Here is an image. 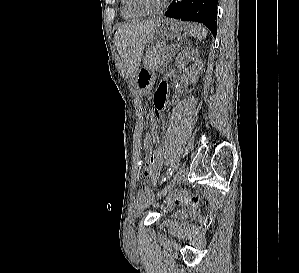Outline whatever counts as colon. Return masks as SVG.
<instances>
[{"mask_svg":"<svg viewBox=\"0 0 299 273\" xmlns=\"http://www.w3.org/2000/svg\"><path fill=\"white\" fill-rule=\"evenodd\" d=\"M155 134L153 130L147 131L144 135L143 145L149 146L154 143ZM165 196L164 203L167 207H172L175 204H185L187 205L194 215L199 212L198 208V198L184 190H166L162 194Z\"/></svg>","mask_w":299,"mask_h":273,"instance_id":"5ec220e1","label":"colon"}]
</instances>
